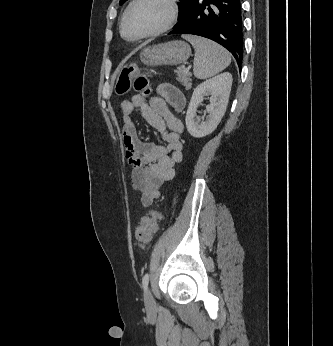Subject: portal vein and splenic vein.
<instances>
[{
    "label": "portal vein and splenic vein",
    "mask_w": 333,
    "mask_h": 346,
    "mask_svg": "<svg viewBox=\"0 0 333 346\" xmlns=\"http://www.w3.org/2000/svg\"><path fill=\"white\" fill-rule=\"evenodd\" d=\"M184 72L188 73L189 72V68H184Z\"/></svg>",
    "instance_id": "1"
}]
</instances>
